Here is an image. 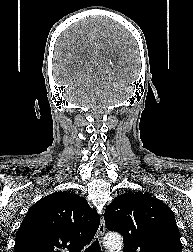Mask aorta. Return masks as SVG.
Listing matches in <instances>:
<instances>
[{"label":"aorta","mask_w":193,"mask_h":252,"mask_svg":"<svg viewBox=\"0 0 193 252\" xmlns=\"http://www.w3.org/2000/svg\"><path fill=\"white\" fill-rule=\"evenodd\" d=\"M104 245L110 252H119L123 246V238L119 234H108L104 238Z\"/></svg>","instance_id":"obj_1"}]
</instances>
